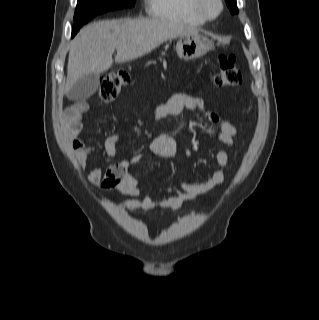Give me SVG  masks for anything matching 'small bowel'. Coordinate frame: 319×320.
<instances>
[{
    "instance_id": "small-bowel-1",
    "label": "small bowel",
    "mask_w": 319,
    "mask_h": 320,
    "mask_svg": "<svg viewBox=\"0 0 319 320\" xmlns=\"http://www.w3.org/2000/svg\"><path fill=\"white\" fill-rule=\"evenodd\" d=\"M87 109L86 103L80 102L73 106L63 118L67 143L74 151L77 163L82 169L86 167L90 155L95 151L82 138L84 130L82 118ZM184 110L199 114L212 124L215 127L214 132L211 134L213 138L228 147L233 145L236 136L235 127L231 123L222 120L216 113L208 111L204 100L197 95L186 93L172 95L167 102L156 108L154 119L159 123L166 116L178 115ZM138 130H141L140 126H138ZM121 141L122 137L118 134H111L106 138L104 152L108 158L115 157L117 146ZM149 147L153 155L165 159L173 158L177 152L176 140L171 135L161 132L151 137ZM140 158L141 154H136L130 160L122 162V170L113 171L111 177L108 174L112 165L106 169L102 165H97L89 173L87 181L103 190H113L134 197L136 199L135 204L145 211L177 210L187 201L220 186L225 179L223 168L229 162V156L226 151H215L213 158L220 168L213 170L207 180L182 182L177 189L161 188L158 190V194L164 195L165 198L155 200L149 193L140 188L138 178L130 170L131 166Z\"/></svg>"
}]
</instances>
